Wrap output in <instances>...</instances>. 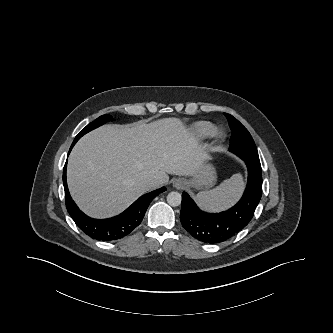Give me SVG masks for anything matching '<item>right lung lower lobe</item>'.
Segmentation results:
<instances>
[{
    "label": "right lung lower lobe",
    "mask_w": 333,
    "mask_h": 333,
    "mask_svg": "<svg viewBox=\"0 0 333 333\" xmlns=\"http://www.w3.org/2000/svg\"><path fill=\"white\" fill-rule=\"evenodd\" d=\"M77 141V139L73 141L69 152ZM66 166L67 162L63 170V185L67 211L76 225L86 235L101 241H113L128 235L141 223L152 199L166 190L165 187H162L141 196L128 209L115 217L101 220L93 219L85 215L72 200L67 187Z\"/></svg>",
    "instance_id": "98d812e1"
}]
</instances>
